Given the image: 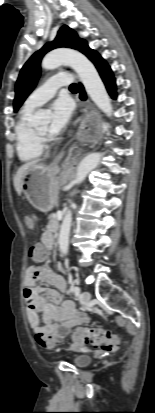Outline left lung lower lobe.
I'll list each match as a JSON object with an SVG mask.
<instances>
[{
    "label": "left lung lower lobe",
    "mask_w": 155,
    "mask_h": 413,
    "mask_svg": "<svg viewBox=\"0 0 155 413\" xmlns=\"http://www.w3.org/2000/svg\"><path fill=\"white\" fill-rule=\"evenodd\" d=\"M96 66L106 88L113 99H116V84L115 78L113 77L112 71L109 65L102 59V57L97 53V55L91 60ZM80 98L82 100L86 99V94L84 88L79 84Z\"/></svg>",
    "instance_id": "obj_1"
}]
</instances>
